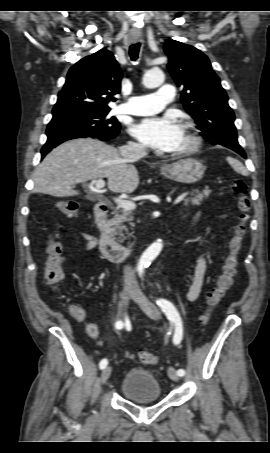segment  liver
I'll use <instances>...</instances> for the list:
<instances>
[{
    "instance_id": "1",
    "label": "liver",
    "mask_w": 270,
    "mask_h": 453,
    "mask_svg": "<svg viewBox=\"0 0 270 453\" xmlns=\"http://www.w3.org/2000/svg\"><path fill=\"white\" fill-rule=\"evenodd\" d=\"M102 178L108 179V188L115 193L130 194L139 184L136 167L116 148L92 138L74 139L53 149L36 168L33 192L76 196V184Z\"/></svg>"
}]
</instances>
